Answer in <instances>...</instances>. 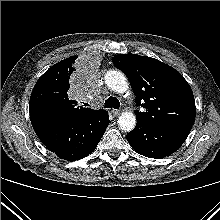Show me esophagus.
Wrapping results in <instances>:
<instances>
[{"label": "esophagus", "instance_id": "obj_1", "mask_svg": "<svg viewBox=\"0 0 220 220\" xmlns=\"http://www.w3.org/2000/svg\"><path fill=\"white\" fill-rule=\"evenodd\" d=\"M120 110H116V109H113L112 110V114L114 115V116H119L120 115Z\"/></svg>", "mask_w": 220, "mask_h": 220}]
</instances>
